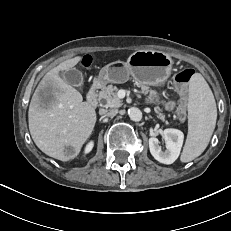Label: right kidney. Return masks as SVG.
I'll return each mask as SVG.
<instances>
[{
  "instance_id": "right-kidney-1",
  "label": "right kidney",
  "mask_w": 231,
  "mask_h": 231,
  "mask_svg": "<svg viewBox=\"0 0 231 231\" xmlns=\"http://www.w3.org/2000/svg\"><path fill=\"white\" fill-rule=\"evenodd\" d=\"M94 146V142L93 141H90L87 145H86V148H85V153H89L92 148Z\"/></svg>"
}]
</instances>
